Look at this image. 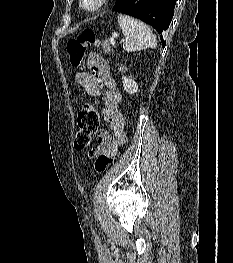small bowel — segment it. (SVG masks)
<instances>
[{
    "mask_svg": "<svg viewBox=\"0 0 233 263\" xmlns=\"http://www.w3.org/2000/svg\"><path fill=\"white\" fill-rule=\"evenodd\" d=\"M87 67L91 73H77L75 81L94 97H101L103 101L102 115L108 124V129H101L98 133L97 145L93 148V155H116L118 148L126 143L124 130L125 119L120 103L122 95L117 88L114 77L106 59L92 52L88 56Z\"/></svg>",
    "mask_w": 233,
    "mask_h": 263,
    "instance_id": "small-bowel-1",
    "label": "small bowel"
}]
</instances>
